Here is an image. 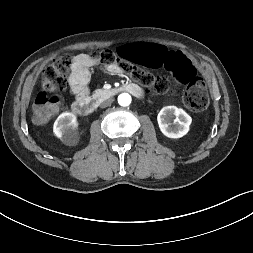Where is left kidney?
Here are the masks:
<instances>
[{
	"mask_svg": "<svg viewBox=\"0 0 253 253\" xmlns=\"http://www.w3.org/2000/svg\"><path fill=\"white\" fill-rule=\"evenodd\" d=\"M157 121L163 135L177 139L188 133L192 118L182 108L165 106L158 113Z\"/></svg>",
	"mask_w": 253,
	"mask_h": 253,
	"instance_id": "5707ae66",
	"label": "left kidney"
}]
</instances>
